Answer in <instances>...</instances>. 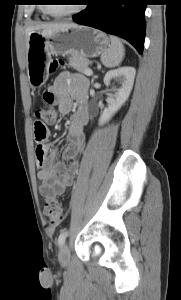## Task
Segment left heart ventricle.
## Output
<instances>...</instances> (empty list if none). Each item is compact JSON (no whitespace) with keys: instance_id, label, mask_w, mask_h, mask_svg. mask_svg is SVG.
I'll return each instance as SVG.
<instances>
[{"instance_id":"b2bd125f","label":"left heart ventricle","mask_w":181,"mask_h":300,"mask_svg":"<svg viewBox=\"0 0 181 300\" xmlns=\"http://www.w3.org/2000/svg\"><path fill=\"white\" fill-rule=\"evenodd\" d=\"M53 2L60 4V5H51L50 6L52 11H54L56 13L67 12L74 8L73 5L69 4V3H72L73 1L53 0Z\"/></svg>"}]
</instances>
